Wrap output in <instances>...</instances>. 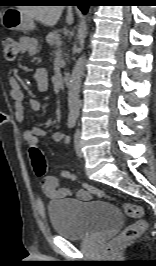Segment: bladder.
<instances>
[{"mask_svg":"<svg viewBox=\"0 0 156 266\" xmlns=\"http://www.w3.org/2000/svg\"><path fill=\"white\" fill-rule=\"evenodd\" d=\"M53 231L69 240H82L118 227L123 220L115 205L91 200H55L48 205Z\"/></svg>","mask_w":156,"mask_h":266,"instance_id":"obj_1","label":"bladder"}]
</instances>
